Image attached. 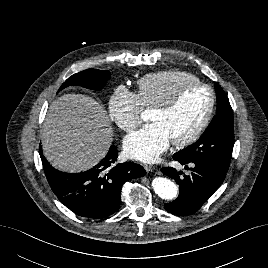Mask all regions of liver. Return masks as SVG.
<instances>
[{"mask_svg": "<svg viewBox=\"0 0 268 268\" xmlns=\"http://www.w3.org/2000/svg\"><path fill=\"white\" fill-rule=\"evenodd\" d=\"M113 129L104 107L92 97L65 94L52 102L42 128V148L56 169L76 173L105 157Z\"/></svg>", "mask_w": 268, "mask_h": 268, "instance_id": "1", "label": "liver"}]
</instances>
